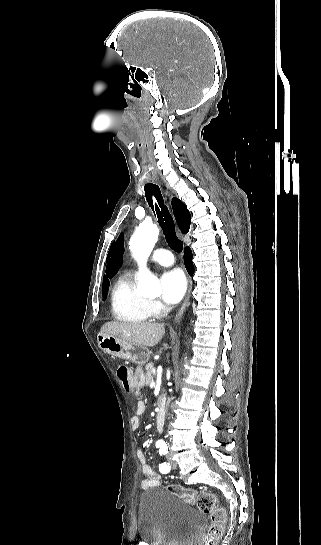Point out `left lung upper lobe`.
<instances>
[{
    "label": "left lung upper lobe",
    "instance_id": "1",
    "mask_svg": "<svg viewBox=\"0 0 321 545\" xmlns=\"http://www.w3.org/2000/svg\"><path fill=\"white\" fill-rule=\"evenodd\" d=\"M123 252H124V249H123V235L121 234L119 236V238H118V241H117V244L115 246L112 258L109 261V263L107 265V268H106V273L110 278L112 276H114L116 274L117 270L119 269V267H120V265L122 263V260H123Z\"/></svg>",
    "mask_w": 321,
    "mask_h": 545
}]
</instances>
